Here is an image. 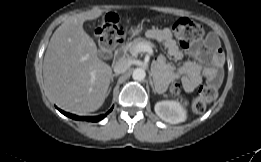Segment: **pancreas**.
Segmentation results:
<instances>
[{"mask_svg":"<svg viewBox=\"0 0 261 162\" xmlns=\"http://www.w3.org/2000/svg\"><path fill=\"white\" fill-rule=\"evenodd\" d=\"M139 44H148L150 46H152L153 44L144 39V38H141V37H138L136 39H134L133 41L127 43L126 45L123 46V51L125 53H130L132 56H136L135 54V50H136V47L139 45Z\"/></svg>","mask_w":261,"mask_h":162,"instance_id":"1","label":"pancreas"}]
</instances>
